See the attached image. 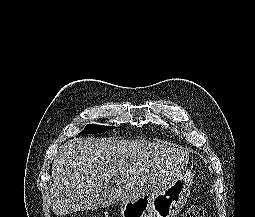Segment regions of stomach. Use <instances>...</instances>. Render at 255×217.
<instances>
[{
    "label": "stomach",
    "mask_w": 255,
    "mask_h": 217,
    "mask_svg": "<svg viewBox=\"0 0 255 217\" xmlns=\"http://www.w3.org/2000/svg\"><path fill=\"white\" fill-rule=\"evenodd\" d=\"M193 174L183 169L152 194L120 206L122 217H177L190 194Z\"/></svg>",
    "instance_id": "0dacf381"
}]
</instances>
